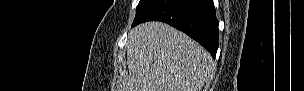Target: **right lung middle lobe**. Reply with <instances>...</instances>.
<instances>
[{"mask_svg": "<svg viewBox=\"0 0 304 91\" xmlns=\"http://www.w3.org/2000/svg\"><path fill=\"white\" fill-rule=\"evenodd\" d=\"M150 0H140L137 8H136V17L139 16V14L141 13V11L149 4Z\"/></svg>", "mask_w": 304, "mask_h": 91, "instance_id": "dd1d6c3e", "label": "right lung middle lobe"}]
</instances>
